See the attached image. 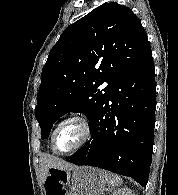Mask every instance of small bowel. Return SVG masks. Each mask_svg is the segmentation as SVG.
Instances as JSON below:
<instances>
[{"instance_id":"small-bowel-1","label":"small bowel","mask_w":178,"mask_h":195,"mask_svg":"<svg viewBox=\"0 0 178 195\" xmlns=\"http://www.w3.org/2000/svg\"><path fill=\"white\" fill-rule=\"evenodd\" d=\"M47 193L48 195H62L61 190L59 188H48Z\"/></svg>"}]
</instances>
